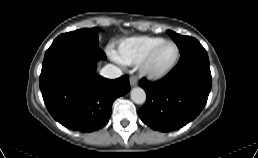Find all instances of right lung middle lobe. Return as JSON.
Returning a JSON list of instances; mask_svg holds the SVG:
<instances>
[{"mask_svg": "<svg viewBox=\"0 0 258 158\" xmlns=\"http://www.w3.org/2000/svg\"><path fill=\"white\" fill-rule=\"evenodd\" d=\"M98 31L99 28L92 29H80L74 32L61 34L52 43L51 46L61 44H86L92 46H98Z\"/></svg>", "mask_w": 258, "mask_h": 158, "instance_id": "1", "label": "right lung middle lobe"}]
</instances>
